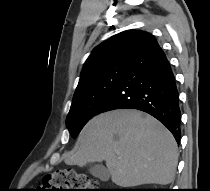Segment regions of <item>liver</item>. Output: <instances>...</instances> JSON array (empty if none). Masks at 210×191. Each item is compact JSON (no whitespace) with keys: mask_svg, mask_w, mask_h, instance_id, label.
Here are the masks:
<instances>
[{"mask_svg":"<svg viewBox=\"0 0 210 191\" xmlns=\"http://www.w3.org/2000/svg\"><path fill=\"white\" fill-rule=\"evenodd\" d=\"M106 162L112 182L120 187L166 185L178 163L177 143L158 120L130 109L92 118L81 131L67 165Z\"/></svg>","mask_w":210,"mask_h":191,"instance_id":"liver-1","label":"liver"}]
</instances>
